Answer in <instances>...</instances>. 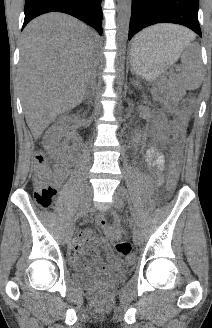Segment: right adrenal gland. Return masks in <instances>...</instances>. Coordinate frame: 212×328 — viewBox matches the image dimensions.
I'll return each mask as SVG.
<instances>
[{
    "label": "right adrenal gland",
    "instance_id": "1",
    "mask_svg": "<svg viewBox=\"0 0 212 328\" xmlns=\"http://www.w3.org/2000/svg\"><path fill=\"white\" fill-rule=\"evenodd\" d=\"M90 97V92L88 91L86 94H85V96H84V101H86V99H88Z\"/></svg>",
    "mask_w": 212,
    "mask_h": 328
}]
</instances>
